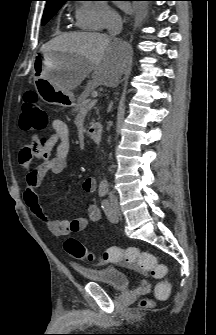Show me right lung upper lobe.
I'll return each mask as SVG.
<instances>
[{
    "mask_svg": "<svg viewBox=\"0 0 216 335\" xmlns=\"http://www.w3.org/2000/svg\"><path fill=\"white\" fill-rule=\"evenodd\" d=\"M47 1V5H51V4H56V3H65L68 0H46Z\"/></svg>",
    "mask_w": 216,
    "mask_h": 335,
    "instance_id": "cb5924a9",
    "label": "right lung upper lobe"
}]
</instances>
